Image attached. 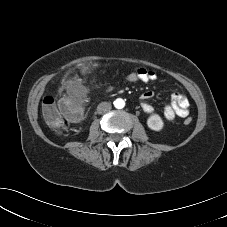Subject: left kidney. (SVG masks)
<instances>
[{"label": "left kidney", "mask_w": 227, "mask_h": 227, "mask_svg": "<svg viewBox=\"0 0 227 227\" xmlns=\"http://www.w3.org/2000/svg\"><path fill=\"white\" fill-rule=\"evenodd\" d=\"M147 126L151 130L160 131L164 126V122L158 114H152L147 119Z\"/></svg>", "instance_id": "left-kidney-1"}]
</instances>
